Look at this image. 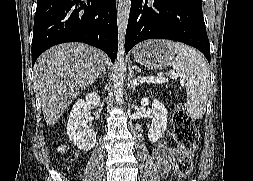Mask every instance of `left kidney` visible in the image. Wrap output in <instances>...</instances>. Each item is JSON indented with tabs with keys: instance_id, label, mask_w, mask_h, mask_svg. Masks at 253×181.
Segmentation results:
<instances>
[{
	"instance_id": "1",
	"label": "left kidney",
	"mask_w": 253,
	"mask_h": 181,
	"mask_svg": "<svg viewBox=\"0 0 253 181\" xmlns=\"http://www.w3.org/2000/svg\"><path fill=\"white\" fill-rule=\"evenodd\" d=\"M141 105L143 107L147 106L150 101L148 97H143L141 99ZM168 111L165 105L158 99H154L152 102V123L148 132V137L151 142H157L166 131Z\"/></svg>"
}]
</instances>
